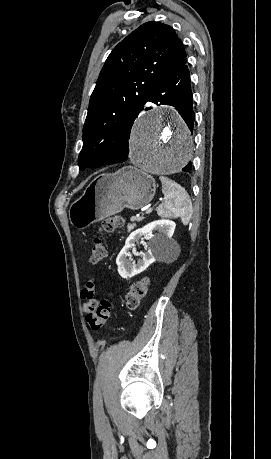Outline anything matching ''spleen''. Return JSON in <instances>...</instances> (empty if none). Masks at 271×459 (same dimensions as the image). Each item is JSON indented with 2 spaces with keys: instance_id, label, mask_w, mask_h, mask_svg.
Returning a JSON list of instances; mask_svg holds the SVG:
<instances>
[{
  "instance_id": "1",
  "label": "spleen",
  "mask_w": 271,
  "mask_h": 459,
  "mask_svg": "<svg viewBox=\"0 0 271 459\" xmlns=\"http://www.w3.org/2000/svg\"><path fill=\"white\" fill-rule=\"evenodd\" d=\"M162 182V192L165 196L163 204L157 208L158 216L161 218H181L182 224L187 226L192 216V204L187 202L186 192L179 184L160 176Z\"/></svg>"
}]
</instances>
